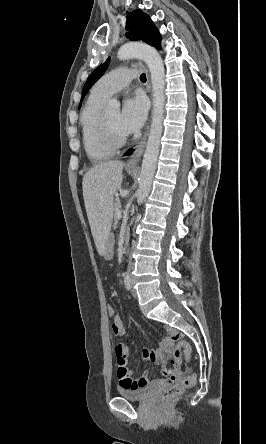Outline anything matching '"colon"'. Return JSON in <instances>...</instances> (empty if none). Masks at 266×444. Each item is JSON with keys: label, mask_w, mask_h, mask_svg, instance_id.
Wrapping results in <instances>:
<instances>
[{"label": "colon", "mask_w": 266, "mask_h": 444, "mask_svg": "<svg viewBox=\"0 0 266 444\" xmlns=\"http://www.w3.org/2000/svg\"><path fill=\"white\" fill-rule=\"evenodd\" d=\"M107 315L113 319L118 314L115 310L113 304L108 303L106 305ZM191 355V347L190 344L185 340H180L176 343L175 349L173 351V359L172 363L179 365L184 358L185 360H189ZM196 382V375L190 374L183 377L181 380L175 382L170 387H168L164 393L162 394V401H168L171 398L180 394L184 389L192 387Z\"/></svg>", "instance_id": "5ec220e1"}]
</instances>
